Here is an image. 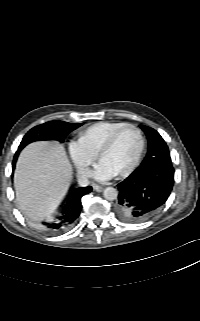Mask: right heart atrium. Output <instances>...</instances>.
Wrapping results in <instances>:
<instances>
[{
    "label": "right heart atrium",
    "instance_id": "right-heart-atrium-1",
    "mask_svg": "<svg viewBox=\"0 0 200 321\" xmlns=\"http://www.w3.org/2000/svg\"><path fill=\"white\" fill-rule=\"evenodd\" d=\"M70 158L81 176H85L88 167L96 159V155L89 151L79 140H72L68 144Z\"/></svg>",
    "mask_w": 200,
    "mask_h": 321
}]
</instances>
